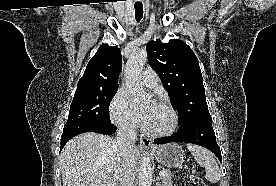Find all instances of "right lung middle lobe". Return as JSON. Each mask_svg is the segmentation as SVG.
I'll list each match as a JSON object with an SVG mask.
<instances>
[{
	"instance_id": "right-lung-middle-lobe-1",
	"label": "right lung middle lobe",
	"mask_w": 276,
	"mask_h": 186,
	"mask_svg": "<svg viewBox=\"0 0 276 186\" xmlns=\"http://www.w3.org/2000/svg\"><path fill=\"white\" fill-rule=\"evenodd\" d=\"M117 89L109 87L76 90L66 125L76 122H110L109 102Z\"/></svg>"
}]
</instances>
